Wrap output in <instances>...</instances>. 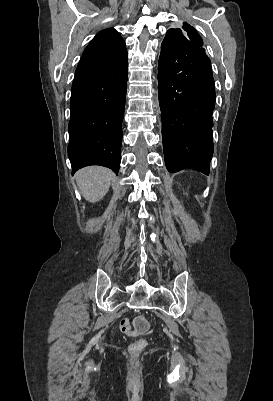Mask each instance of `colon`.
Here are the masks:
<instances>
[{
  "label": "colon",
  "instance_id": "colon-1",
  "mask_svg": "<svg viewBox=\"0 0 273 401\" xmlns=\"http://www.w3.org/2000/svg\"><path fill=\"white\" fill-rule=\"evenodd\" d=\"M140 319H136L134 322L136 332L145 333L148 330V324L144 320L145 315L140 314ZM148 347L147 337H137L136 340H128L127 349L124 351L125 358H140L141 353H145ZM132 378H137V375H132Z\"/></svg>",
  "mask_w": 273,
  "mask_h": 401
}]
</instances>
